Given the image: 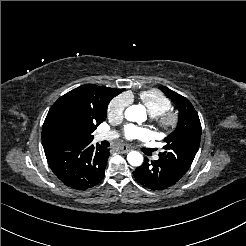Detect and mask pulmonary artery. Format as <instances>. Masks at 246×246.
I'll return each mask as SVG.
<instances>
[{"label": "pulmonary artery", "instance_id": "pulmonary-artery-1", "mask_svg": "<svg viewBox=\"0 0 246 246\" xmlns=\"http://www.w3.org/2000/svg\"><path fill=\"white\" fill-rule=\"evenodd\" d=\"M116 137H117V133L114 131H103L96 136V139L98 141H102V140H112L115 139Z\"/></svg>", "mask_w": 246, "mask_h": 246}]
</instances>
